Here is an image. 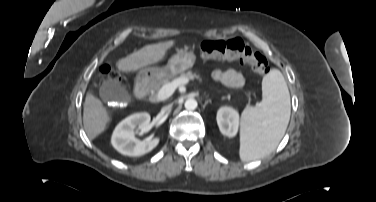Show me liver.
<instances>
[{
  "mask_svg": "<svg viewBox=\"0 0 376 202\" xmlns=\"http://www.w3.org/2000/svg\"><path fill=\"white\" fill-rule=\"evenodd\" d=\"M174 45V41L160 42L147 45L120 59L116 66L122 72H133L142 67L161 61L166 51ZM110 121V117L102 102L92 93L88 92L84 102L83 124L89 139L101 134Z\"/></svg>",
  "mask_w": 376,
  "mask_h": 202,
  "instance_id": "liver-1",
  "label": "liver"
}]
</instances>
